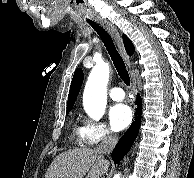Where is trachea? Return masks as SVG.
Here are the masks:
<instances>
[{"label": "trachea", "mask_w": 194, "mask_h": 178, "mask_svg": "<svg viewBox=\"0 0 194 178\" xmlns=\"http://www.w3.org/2000/svg\"><path fill=\"white\" fill-rule=\"evenodd\" d=\"M90 26L98 33V35L100 36L102 42L104 43V46L106 47L112 61L113 64L118 72V75L120 76L121 80L127 85L130 86V77H129V73L126 69L125 63L121 57V55L119 54V52L117 51L114 42L111 38V36L109 35V33L103 29L102 27H100L99 25H97L96 23H90Z\"/></svg>", "instance_id": "obj_1"}]
</instances>
